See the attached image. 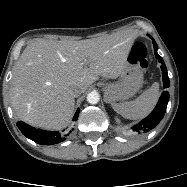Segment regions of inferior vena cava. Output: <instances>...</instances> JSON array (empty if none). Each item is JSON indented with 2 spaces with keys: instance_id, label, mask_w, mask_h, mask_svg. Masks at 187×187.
Returning a JSON list of instances; mask_svg holds the SVG:
<instances>
[{
  "instance_id": "inferior-vena-cava-1",
  "label": "inferior vena cava",
  "mask_w": 187,
  "mask_h": 187,
  "mask_svg": "<svg viewBox=\"0 0 187 187\" xmlns=\"http://www.w3.org/2000/svg\"><path fill=\"white\" fill-rule=\"evenodd\" d=\"M81 94V91L79 89H74L71 91L72 97H78Z\"/></svg>"
}]
</instances>
